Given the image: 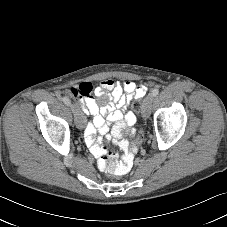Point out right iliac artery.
Masks as SVG:
<instances>
[{"instance_id":"82829eb1","label":"right iliac artery","mask_w":227,"mask_h":227,"mask_svg":"<svg viewBox=\"0 0 227 227\" xmlns=\"http://www.w3.org/2000/svg\"><path fill=\"white\" fill-rule=\"evenodd\" d=\"M62 100H63V102L67 105V106H70L71 105V101L69 100V98L68 97H63L62 98Z\"/></svg>"}]
</instances>
